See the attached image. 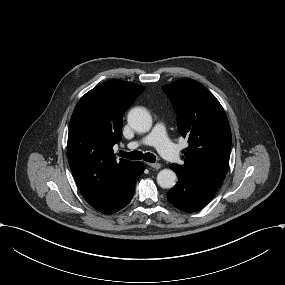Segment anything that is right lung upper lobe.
Returning a JSON list of instances; mask_svg holds the SVG:
<instances>
[{
	"instance_id": "1",
	"label": "right lung upper lobe",
	"mask_w": 285,
	"mask_h": 285,
	"mask_svg": "<svg viewBox=\"0 0 285 285\" xmlns=\"http://www.w3.org/2000/svg\"><path fill=\"white\" fill-rule=\"evenodd\" d=\"M145 87L122 80L106 81L87 92L72 114L68 161L76 183L96 209L116 197L137 162L116 161L113 146L121 140L125 109Z\"/></svg>"
}]
</instances>
